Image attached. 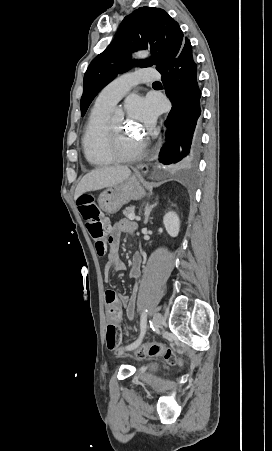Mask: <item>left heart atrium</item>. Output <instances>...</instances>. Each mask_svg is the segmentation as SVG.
Returning a JSON list of instances; mask_svg holds the SVG:
<instances>
[{
  "instance_id": "obj_1",
  "label": "left heart atrium",
  "mask_w": 272,
  "mask_h": 451,
  "mask_svg": "<svg viewBox=\"0 0 272 451\" xmlns=\"http://www.w3.org/2000/svg\"><path fill=\"white\" fill-rule=\"evenodd\" d=\"M129 121L138 130H150L155 122L156 107L148 98L132 97L127 103Z\"/></svg>"
}]
</instances>
